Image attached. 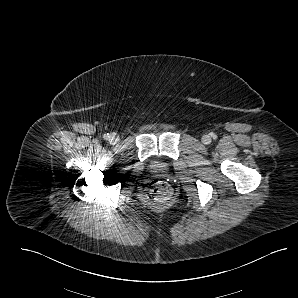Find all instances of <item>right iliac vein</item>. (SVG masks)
I'll return each instance as SVG.
<instances>
[{
	"instance_id": "63e3f726",
	"label": "right iliac vein",
	"mask_w": 298,
	"mask_h": 298,
	"mask_svg": "<svg viewBox=\"0 0 298 298\" xmlns=\"http://www.w3.org/2000/svg\"><path fill=\"white\" fill-rule=\"evenodd\" d=\"M109 142L112 143V144H115L119 141V136L115 133H112L109 135Z\"/></svg>"
}]
</instances>
